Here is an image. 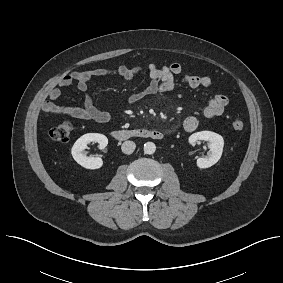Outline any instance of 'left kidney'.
<instances>
[{"label":"left kidney","instance_id":"5707ae66","mask_svg":"<svg viewBox=\"0 0 283 283\" xmlns=\"http://www.w3.org/2000/svg\"><path fill=\"white\" fill-rule=\"evenodd\" d=\"M197 140L202 141H209L210 145V151L208 153V156L198 158L197 159V166L201 169L209 168L216 164L223 152V146H224V139L221 135L212 132V131H201L192 134L189 137V143L194 144Z\"/></svg>","mask_w":283,"mask_h":283}]
</instances>
